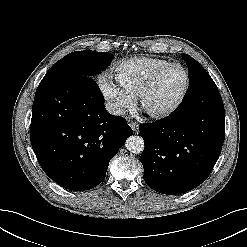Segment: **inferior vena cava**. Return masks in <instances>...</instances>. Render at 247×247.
<instances>
[{"mask_svg": "<svg viewBox=\"0 0 247 247\" xmlns=\"http://www.w3.org/2000/svg\"><path fill=\"white\" fill-rule=\"evenodd\" d=\"M105 106H106L108 113H110L112 115L117 116V115H121L123 113V109L117 103L107 102L105 104Z\"/></svg>", "mask_w": 247, "mask_h": 247, "instance_id": "1", "label": "inferior vena cava"}]
</instances>
